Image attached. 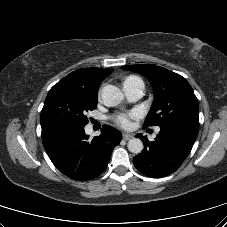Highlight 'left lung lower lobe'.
Returning a JSON list of instances; mask_svg holds the SVG:
<instances>
[{
	"label": "left lung lower lobe",
	"instance_id": "obj_1",
	"mask_svg": "<svg viewBox=\"0 0 227 227\" xmlns=\"http://www.w3.org/2000/svg\"><path fill=\"white\" fill-rule=\"evenodd\" d=\"M156 140L144 141V150L133 158L135 167L144 175L161 178L173 173L189 155L199 127L189 124H168L160 127Z\"/></svg>",
	"mask_w": 227,
	"mask_h": 227
}]
</instances>
